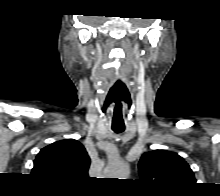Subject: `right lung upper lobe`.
Masks as SVG:
<instances>
[{"instance_id":"cb5924a9","label":"right lung upper lobe","mask_w":220,"mask_h":196,"mask_svg":"<svg viewBox=\"0 0 220 196\" xmlns=\"http://www.w3.org/2000/svg\"><path fill=\"white\" fill-rule=\"evenodd\" d=\"M90 158L77 140L66 139L43 148L37 155L32 175L50 183L78 185L88 178Z\"/></svg>"}]
</instances>
